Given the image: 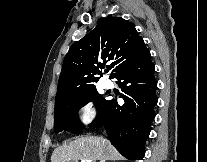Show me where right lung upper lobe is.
I'll return each instance as SVG.
<instances>
[{
    "label": "right lung upper lobe",
    "mask_w": 207,
    "mask_h": 162,
    "mask_svg": "<svg viewBox=\"0 0 207 162\" xmlns=\"http://www.w3.org/2000/svg\"><path fill=\"white\" fill-rule=\"evenodd\" d=\"M149 53L134 25L121 17L100 20L97 26L75 42L65 56L56 99L87 92L95 88L99 69L109 63L110 78Z\"/></svg>",
    "instance_id": "obj_1"
}]
</instances>
